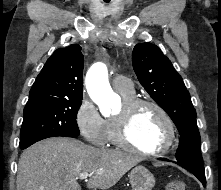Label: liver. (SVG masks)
<instances>
[{
  "instance_id": "6515ba94",
  "label": "liver",
  "mask_w": 221,
  "mask_h": 190,
  "mask_svg": "<svg viewBox=\"0 0 221 190\" xmlns=\"http://www.w3.org/2000/svg\"><path fill=\"white\" fill-rule=\"evenodd\" d=\"M142 157L107 148H95L69 138L38 142L20 156L17 190H81V173L92 174L88 188L109 189ZM101 172V174H96Z\"/></svg>"
}]
</instances>
